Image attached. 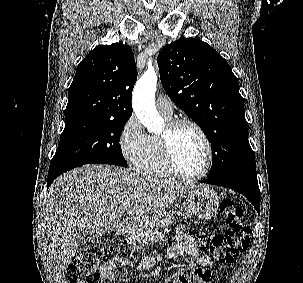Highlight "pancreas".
<instances>
[{
  "mask_svg": "<svg viewBox=\"0 0 303 283\" xmlns=\"http://www.w3.org/2000/svg\"><path fill=\"white\" fill-rule=\"evenodd\" d=\"M168 233L167 227H161L160 230H155L154 228H143L138 226L137 228L130 230L129 241L130 242H145V243H153L159 239H163Z\"/></svg>",
  "mask_w": 303,
  "mask_h": 283,
  "instance_id": "1",
  "label": "pancreas"
}]
</instances>
